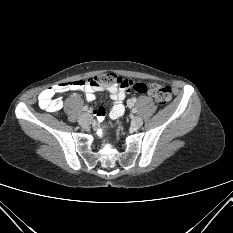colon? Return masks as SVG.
I'll use <instances>...</instances> for the list:
<instances>
[{"mask_svg":"<svg viewBox=\"0 0 233 233\" xmlns=\"http://www.w3.org/2000/svg\"><path fill=\"white\" fill-rule=\"evenodd\" d=\"M95 83H103L104 88L118 87L126 92L135 91L140 94H149L157 104L166 105L172 98L171 88L159 84L134 83L131 80L122 78L114 73H104L90 78Z\"/></svg>","mask_w":233,"mask_h":233,"instance_id":"obj_1","label":"colon"}]
</instances>
